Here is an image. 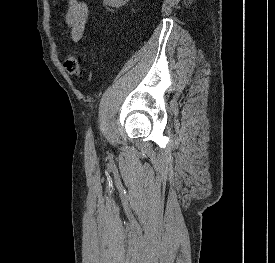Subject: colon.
I'll use <instances>...</instances> for the list:
<instances>
[{"instance_id":"1","label":"colon","mask_w":275,"mask_h":263,"mask_svg":"<svg viewBox=\"0 0 275 263\" xmlns=\"http://www.w3.org/2000/svg\"><path fill=\"white\" fill-rule=\"evenodd\" d=\"M64 68L69 75L78 80H83L84 70L82 67V59L77 54H70L66 57L64 60Z\"/></svg>"}]
</instances>
